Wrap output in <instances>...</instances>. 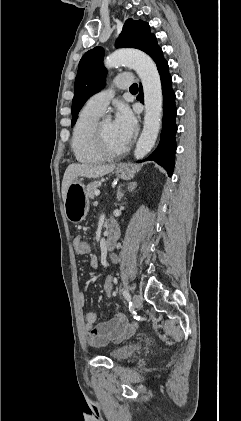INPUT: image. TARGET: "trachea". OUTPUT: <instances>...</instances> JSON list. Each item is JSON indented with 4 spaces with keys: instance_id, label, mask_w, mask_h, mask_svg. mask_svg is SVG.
<instances>
[{
    "instance_id": "trachea-1",
    "label": "trachea",
    "mask_w": 241,
    "mask_h": 421,
    "mask_svg": "<svg viewBox=\"0 0 241 421\" xmlns=\"http://www.w3.org/2000/svg\"><path fill=\"white\" fill-rule=\"evenodd\" d=\"M136 90H138V85L137 84L131 85L130 91H136Z\"/></svg>"
}]
</instances>
